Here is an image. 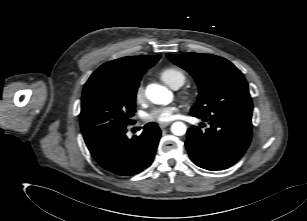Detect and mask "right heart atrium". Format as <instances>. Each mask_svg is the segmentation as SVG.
Here are the masks:
<instances>
[{
	"mask_svg": "<svg viewBox=\"0 0 307 221\" xmlns=\"http://www.w3.org/2000/svg\"><path fill=\"white\" fill-rule=\"evenodd\" d=\"M134 99L138 104H142L146 100L145 88L142 82L138 83L135 88Z\"/></svg>",
	"mask_w": 307,
	"mask_h": 221,
	"instance_id": "1",
	"label": "right heart atrium"
}]
</instances>
